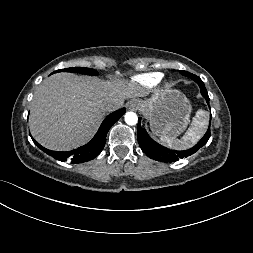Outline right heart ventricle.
<instances>
[{
  "label": "right heart ventricle",
  "mask_w": 253,
  "mask_h": 253,
  "mask_svg": "<svg viewBox=\"0 0 253 253\" xmlns=\"http://www.w3.org/2000/svg\"><path fill=\"white\" fill-rule=\"evenodd\" d=\"M162 77L160 72H149L136 76L133 81L142 88L148 89L158 84Z\"/></svg>",
  "instance_id": "right-heart-ventricle-1"
}]
</instances>
